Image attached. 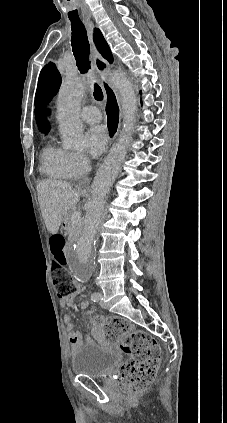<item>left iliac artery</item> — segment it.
Here are the masks:
<instances>
[{
  "label": "left iliac artery",
  "mask_w": 227,
  "mask_h": 423,
  "mask_svg": "<svg viewBox=\"0 0 227 423\" xmlns=\"http://www.w3.org/2000/svg\"><path fill=\"white\" fill-rule=\"evenodd\" d=\"M91 300L94 301V302L97 301V300H100V293L94 292L91 295Z\"/></svg>",
  "instance_id": "left-iliac-artery-1"
}]
</instances>
